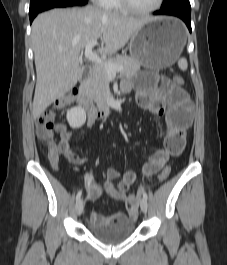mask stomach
<instances>
[{
	"label": "stomach",
	"instance_id": "stomach-1",
	"mask_svg": "<svg viewBox=\"0 0 227 265\" xmlns=\"http://www.w3.org/2000/svg\"><path fill=\"white\" fill-rule=\"evenodd\" d=\"M186 43L182 22L162 17L146 22L130 39L129 51L140 65L148 69H164L179 58Z\"/></svg>",
	"mask_w": 227,
	"mask_h": 265
}]
</instances>
